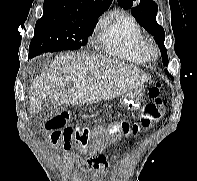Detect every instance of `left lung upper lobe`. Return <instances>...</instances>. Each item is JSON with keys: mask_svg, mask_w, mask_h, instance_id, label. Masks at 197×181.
I'll return each mask as SVG.
<instances>
[{"mask_svg": "<svg viewBox=\"0 0 197 181\" xmlns=\"http://www.w3.org/2000/svg\"><path fill=\"white\" fill-rule=\"evenodd\" d=\"M123 9H131L136 21L150 34L155 37L162 56L164 65H168L167 50L164 46L165 32L162 26L156 21L158 10L157 4L152 0H117ZM134 3V4H133ZM134 5V6H133ZM168 75V71H165Z\"/></svg>", "mask_w": 197, "mask_h": 181, "instance_id": "5c2ea615", "label": "left lung upper lobe"}]
</instances>
